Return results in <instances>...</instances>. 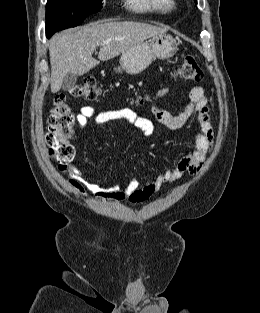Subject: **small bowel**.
Returning <instances> with one entry per match:
<instances>
[{"label": "small bowel", "instance_id": "1", "mask_svg": "<svg viewBox=\"0 0 260 313\" xmlns=\"http://www.w3.org/2000/svg\"><path fill=\"white\" fill-rule=\"evenodd\" d=\"M168 91V88L161 89L157 97L166 95ZM151 111L160 123L172 130L184 127L192 116H196L199 130L194 134L193 146L187 154L177 161L173 168L161 172L142 187L136 178L129 180L125 185L121 183L100 185L93 182L91 176L84 174L77 162H73L70 166L68 184L84 197L91 193L100 201L141 203L151 198L165 185L179 180L184 174H197L207 160L214 138L203 87L194 86L191 88L189 102L179 114H172L161 108L156 102ZM91 118H94L98 124L125 123L137 128L145 136L150 134L152 128L149 119L133 110L119 109L97 112L95 108L90 106H84L80 109L76 117L77 125L84 129L88 126Z\"/></svg>", "mask_w": 260, "mask_h": 313}]
</instances>
